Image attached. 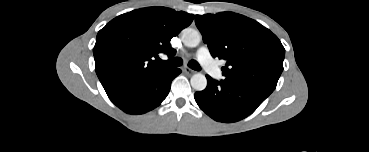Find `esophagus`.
Masks as SVG:
<instances>
[{
	"label": "esophagus",
	"mask_w": 369,
	"mask_h": 152,
	"mask_svg": "<svg viewBox=\"0 0 369 152\" xmlns=\"http://www.w3.org/2000/svg\"><path fill=\"white\" fill-rule=\"evenodd\" d=\"M183 72H184L185 74H187V75H192V74L196 73V71H194V70H192V69H190V68H188V67H185V68L183 69Z\"/></svg>",
	"instance_id": "obj_1"
}]
</instances>
